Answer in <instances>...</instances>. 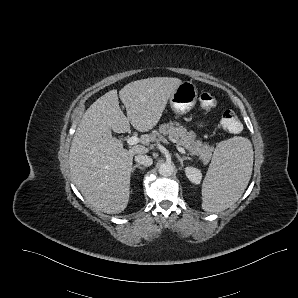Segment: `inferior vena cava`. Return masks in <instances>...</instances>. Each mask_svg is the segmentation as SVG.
<instances>
[{"label": "inferior vena cava", "instance_id": "inferior-vena-cava-1", "mask_svg": "<svg viewBox=\"0 0 298 298\" xmlns=\"http://www.w3.org/2000/svg\"><path fill=\"white\" fill-rule=\"evenodd\" d=\"M135 161L138 164L145 165V166H151L153 163V159L150 156L144 155V154H137L135 156Z\"/></svg>", "mask_w": 298, "mask_h": 298}]
</instances>
